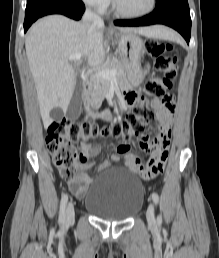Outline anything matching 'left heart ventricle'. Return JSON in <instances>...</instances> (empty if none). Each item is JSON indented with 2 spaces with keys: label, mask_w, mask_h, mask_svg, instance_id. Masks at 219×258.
Masks as SVG:
<instances>
[{
  "label": "left heart ventricle",
  "mask_w": 219,
  "mask_h": 258,
  "mask_svg": "<svg viewBox=\"0 0 219 258\" xmlns=\"http://www.w3.org/2000/svg\"><path fill=\"white\" fill-rule=\"evenodd\" d=\"M119 7L128 13H137L149 8L151 0H117Z\"/></svg>",
  "instance_id": "obj_1"
}]
</instances>
